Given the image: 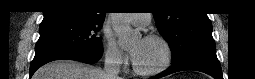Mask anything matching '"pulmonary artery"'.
I'll return each mask as SVG.
<instances>
[{"label": "pulmonary artery", "mask_w": 255, "mask_h": 79, "mask_svg": "<svg viewBox=\"0 0 255 79\" xmlns=\"http://www.w3.org/2000/svg\"><path fill=\"white\" fill-rule=\"evenodd\" d=\"M127 21L138 25H147L151 22V14H130Z\"/></svg>", "instance_id": "obj_1"}]
</instances>
